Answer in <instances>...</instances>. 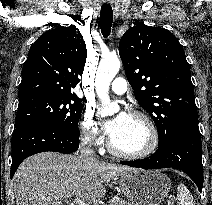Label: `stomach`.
<instances>
[{"label":"stomach","instance_id":"0dacf381","mask_svg":"<svg viewBox=\"0 0 212 205\" xmlns=\"http://www.w3.org/2000/svg\"><path fill=\"white\" fill-rule=\"evenodd\" d=\"M118 183L132 205H159L171 189L170 179L160 171L135 169L120 175Z\"/></svg>","mask_w":212,"mask_h":205}]
</instances>
